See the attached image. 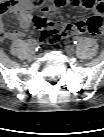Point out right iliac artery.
<instances>
[{
    "label": "right iliac artery",
    "mask_w": 104,
    "mask_h": 137,
    "mask_svg": "<svg viewBox=\"0 0 104 137\" xmlns=\"http://www.w3.org/2000/svg\"><path fill=\"white\" fill-rule=\"evenodd\" d=\"M29 46H30V50L33 52V51H36L38 48H39V44L36 40H30L29 41Z\"/></svg>",
    "instance_id": "obj_1"
}]
</instances>
